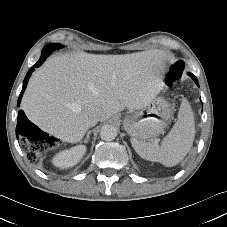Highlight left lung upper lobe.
<instances>
[{"label":"left lung upper lobe","mask_w":227,"mask_h":227,"mask_svg":"<svg viewBox=\"0 0 227 227\" xmlns=\"http://www.w3.org/2000/svg\"><path fill=\"white\" fill-rule=\"evenodd\" d=\"M189 74V73H188ZM192 74V73H191ZM195 76V75H194ZM194 81H195V79H196V77L194 78V77H192V76H190Z\"/></svg>","instance_id":"left-lung-upper-lobe-1"}]
</instances>
